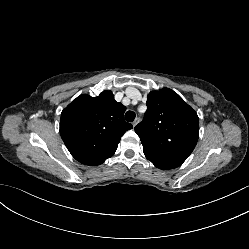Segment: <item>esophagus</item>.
<instances>
[{
	"label": "esophagus",
	"mask_w": 249,
	"mask_h": 249,
	"mask_svg": "<svg viewBox=\"0 0 249 249\" xmlns=\"http://www.w3.org/2000/svg\"><path fill=\"white\" fill-rule=\"evenodd\" d=\"M140 122V118H136L133 122V127H135Z\"/></svg>",
	"instance_id": "obj_1"
}]
</instances>
